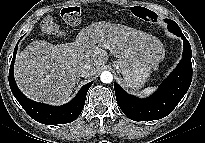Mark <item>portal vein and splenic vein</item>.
I'll use <instances>...</instances> for the list:
<instances>
[{
  "instance_id": "18ae733b",
  "label": "portal vein and splenic vein",
  "mask_w": 205,
  "mask_h": 143,
  "mask_svg": "<svg viewBox=\"0 0 205 143\" xmlns=\"http://www.w3.org/2000/svg\"><path fill=\"white\" fill-rule=\"evenodd\" d=\"M103 47L107 49V48H108V45L104 44Z\"/></svg>"
}]
</instances>
